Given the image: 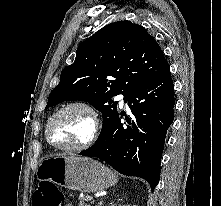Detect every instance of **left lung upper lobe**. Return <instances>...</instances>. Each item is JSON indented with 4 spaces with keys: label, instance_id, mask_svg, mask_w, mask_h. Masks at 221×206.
Here are the masks:
<instances>
[{
    "label": "left lung upper lobe",
    "instance_id": "5c2ea615",
    "mask_svg": "<svg viewBox=\"0 0 221 206\" xmlns=\"http://www.w3.org/2000/svg\"><path fill=\"white\" fill-rule=\"evenodd\" d=\"M168 68L160 46L144 27L130 21L111 23L78 47L74 63L63 69L50 93L46 109L65 100L92 104L103 115L98 141L118 116L112 97H128Z\"/></svg>",
    "mask_w": 221,
    "mask_h": 206
}]
</instances>
